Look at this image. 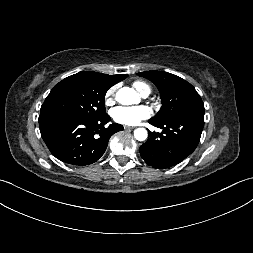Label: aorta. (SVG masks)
<instances>
[{"label":"aorta","mask_w":253,"mask_h":253,"mask_svg":"<svg viewBox=\"0 0 253 253\" xmlns=\"http://www.w3.org/2000/svg\"><path fill=\"white\" fill-rule=\"evenodd\" d=\"M116 101L122 105H132L139 103L140 98L134 89L123 87L117 91ZM134 136L138 141H144L147 139L148 133L144 128H137L134 131Z\"/></svg>","instance_id":"1"}]
</instances>
